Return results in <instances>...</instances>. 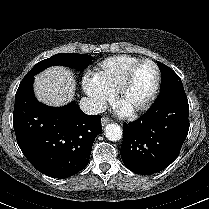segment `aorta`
I'll return each instance as SVG.
<instances>
[{
    "label": "aorta",
    "instance_id": "762f6f07",
    "mask_svg": "<svg viewBox=\"0 0 209 209\" xmlns=\"http://www.w3.org/2000/svg\"><path fill=\"white\" fill-rule=\"evenodd\" d=\"M122 134V129L117 124L111 123L105 127V136L110 141H119Z\"/></svg>",
    "mask_w": 209,
    "mask_h": 209
}]
</instances>
